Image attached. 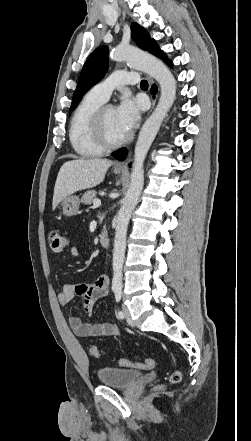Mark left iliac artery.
<instances>
[{
	"label": "left iliac artery",
	"mask_w": 251,
	"mask_h": 441,
	"mask_svg": "<svg viewBox=\"0 0 251 441\" xmlns=\"http://www.w3.org/2000/svg\"><path fill=\"white\" fill-rule=\"evenodd\" d=\"M121 297H122V291H121V289H117V290H115V299H116V302H117V303L120 302ZM117 316H118V318H120V319H123V318H124V314H123L122 311H118Z\"/></svg>",
	"instance_id": "44dca946"
}]
</instances>
